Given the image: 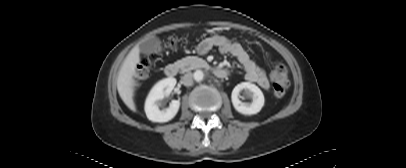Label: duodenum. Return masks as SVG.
Returning <instances> with one entry per match:
<instances>
[{
    "label": "duodenum",
    "instance_id": "duodenum-1",
    "mask_svg": "<svg viewBox=\"0 0 406 168\" xmlns=\"http://www.w3.org/2000/svg\"><path fill=\"white\" fill-rule=\"evenodd\" d=\"M206 66V65H204ZM180 71V66L176 63H172L166 66L164 73L167 77H174L178 74V72ZM212 71L214 73V75L220 79H224L228 76V71L225 69H221L218 67H213Z\"/></svg>",
    "mask_w": 406,
    "mask_h": 168
}]
</instances>
